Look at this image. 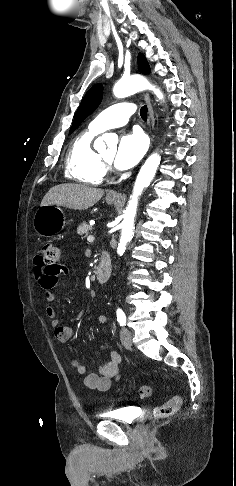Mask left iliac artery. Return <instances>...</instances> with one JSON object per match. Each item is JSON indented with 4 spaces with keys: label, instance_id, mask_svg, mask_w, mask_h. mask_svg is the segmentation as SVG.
<instances>
[{
    "label": "left iliac artery",
    "instance_id": "1",
    "mask_svg": "<svg viewBox=\"0 0 236 486\" xmlns=\"http://www.w3.org/2000/svg\"><path fill=\"white\" fill-rule=\"evenodd\" d=\"M116 314H117V321L120 324V326L126 325V316L122 311V309L118 308Z\"/></svg>",
    "mask_w": 236,
    "mask_h": 486
}]
</instances>
